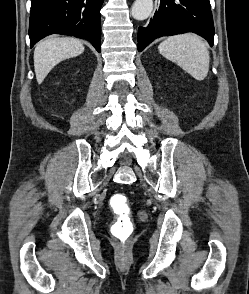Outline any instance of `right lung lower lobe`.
<instances>
[{"mask_svg": "<svg viewBox=\"0 0 249 294\" xmlns=\"http://www.w3.org/2000/svg\"><path fill=\"white\" fill-rule=\"evenodd\" d=\"M104 0H32L29 37L33 47L57 33L86 39L101 51L100 9Z\"/></svg>", "mask_w": 249, "mask_h": 294, "instance_id": "obj_1", "label": "right lung lower lobe"}]
</instances>
